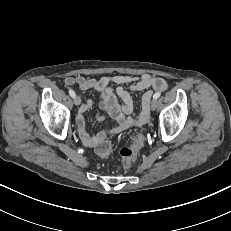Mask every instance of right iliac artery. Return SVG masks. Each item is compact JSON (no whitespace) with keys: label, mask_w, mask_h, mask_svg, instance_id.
Instances as JSON below:
<instances>
[{"label":"right iliac artery","mask_w":231,"mask_h":231,"mask_svg":"<svg viewBox=\"0 0 231 231\" xmlns=\"http://www.w3.org/2000/svg\"><path fill=\"white\" fill-rule=\"evenodd\" d=\"M69 94L72 98L75 97V92L72 89L69 90Z\"/></svg>","instance_id":"obj_1"}]
</instances>
